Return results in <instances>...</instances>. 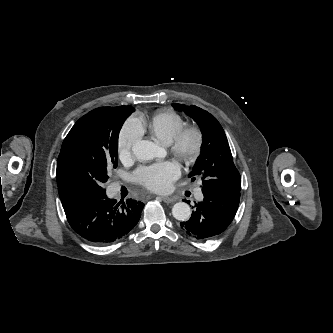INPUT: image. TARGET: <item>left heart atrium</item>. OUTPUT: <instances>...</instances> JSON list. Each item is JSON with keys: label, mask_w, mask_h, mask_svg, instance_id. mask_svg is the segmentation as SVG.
<instances>
[{"label": "left heart atrium", "mask_w": 333, "mask_h": 333, "mask_svg": "<svg viewBox=\"0 0 333 333\" xmlns=\"http://www.w3.org/2000/svg\"><path fill=\"white\" fill-rule=\"evenodd\" d=\"M179 175L178 165L172 161H166L139 167L134 173V179L149 190L163 192L171 187L172 182Z\"/></svg>", "instance_id": "obj_1"}]
</instances>
